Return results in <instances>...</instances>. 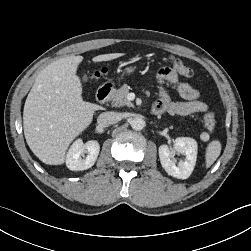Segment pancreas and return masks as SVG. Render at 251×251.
<instances>
[{"label": "pancreas", "mask_w": 251, "mask_h": 251, "mask_svg": "<svg viewBox=\"0 0 251 251\" xmlns=\"http://www.w3.org/2000/svg\"><path fill=\"white\" fill-rule=\"evenodd\" d=\"M129 89L130 88L127 85H123L121 88L112 93L111 99L113 106L120 107L126 105L128 107H133L132 102L127 99Z\"/></svg>", "instance_id": "cf45deb5"}]
</instances>
